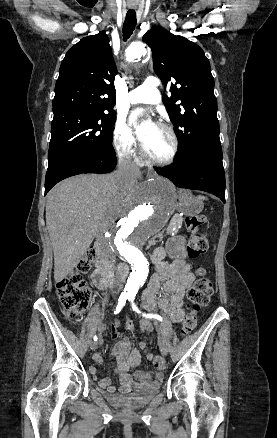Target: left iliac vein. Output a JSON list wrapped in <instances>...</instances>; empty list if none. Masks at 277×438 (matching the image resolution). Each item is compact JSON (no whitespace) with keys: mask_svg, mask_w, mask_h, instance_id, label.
<instances>
[{"mask_svg":"<svg viewBox=\"0 0 277 438\" xmlns=\"http://www.w3.org/2000/svg\"><path fill=\"white\" fill-rule=\"evenodd\" d=\"M160 350L163 356H166L168 354V346L165 341L161 342Z\"/></svg>","mask_w":277,"mask_h":438,"instance_id":"left-iliac-vein-1","label":"left iliac vein"}]
</instances>
